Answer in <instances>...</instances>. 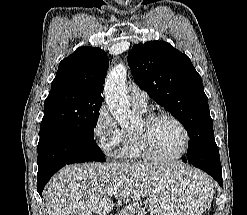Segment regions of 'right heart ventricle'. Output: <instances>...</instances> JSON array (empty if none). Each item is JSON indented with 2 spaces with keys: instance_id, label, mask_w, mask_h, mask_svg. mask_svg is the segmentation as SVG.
I'll list each match as a JSON object with an SVG mask.
<instances>
[{
  "instance_id": "right-heart-ventricle-1",
  "label": "right heart ventricle",
  "mask_w": 247,
  "mask_h": 215,
  "mask_svg": "<svg viewBox=\"0 0 247 215\" xmlns=\"http://www.w3.org/2000/svg\"><path fill=\"white\" fill-rule=\"evenodd\" d=\"M118 157L125 161H142L147 159L139 146L135 132L123 130V139Z\"/></svg>"
}]
</instances>
